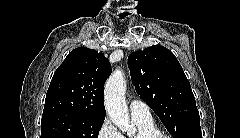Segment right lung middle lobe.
<instances>
[{
    "label": "right lung middle lobe",
    "mask_w": 240,
    "mask_h": 138,
    "mask_svg": "<svg viewBox=\"0 0 240 138\" xmlns=\"http://www.w3.org/2000/svg\"><path fill=\"white\" fill-rule=\"evenodd\" d=\"M104 119L72 113L42 116L41 138H98Z\"/></svg>",
    "instance_id": "right-lung-middle-lobe-1"
}]
</instances>
